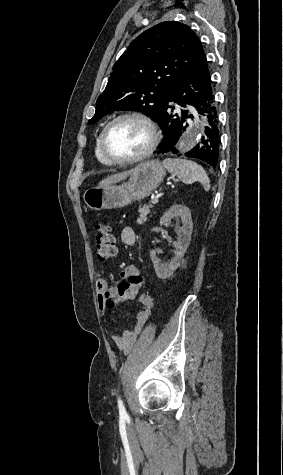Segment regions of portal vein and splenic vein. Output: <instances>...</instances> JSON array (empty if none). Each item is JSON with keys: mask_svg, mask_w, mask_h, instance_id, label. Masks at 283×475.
Listing matches in <instances>:
<instances>
[{"mask_svg": "<svg viewBox=\"0 0 283 475\" xmlns=\"http://www.w3.org/2000/svg\"><path fill=\"white\" fill-rule=\"evenodd\" d=\"M157 202H158V198H157V196H155V198H153L151 204H157Z\"/></svg>", "mask_w": 283, "mask_h": 475, "instance_id": "portal-vein-and-splenic-vein-1", "label": "portal vein and splenic vein"}]
</instances>
